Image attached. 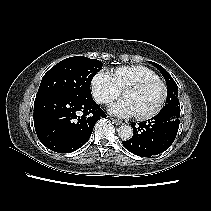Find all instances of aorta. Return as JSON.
<instances>
[{
  "label": "aorta",
  "mask_w": 211,
  "mask_h": 211,
  "mask_svg": "<svg viewBox=\"0 0 211 211\" xmlns=\"http://www.w3.org/2000/svg\"><path fill=\"white\" fill-rule=\"evenodd\" d=\"M118 135L122 140H129L133 136V129L129 125H122L118 128Z\"/></svg>",
  "instance_id": "762f6f07"
}]
</instances>
